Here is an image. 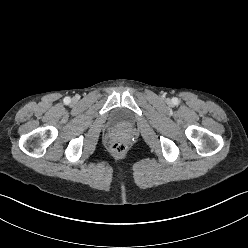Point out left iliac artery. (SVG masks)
Instances as JSON below:
<instances>
[{"instance_id": "44dca946", "label": "left iliac artery", "mask_w": 248, "mask_h": 248, "mask_svg": "<svg viewBox=\"0 0 248 248\" xmlns=\"http://www.w3.org/2000/svg\"><path fill=\"white\" fill-rule=\"evenodd\" d=\"M173 102H174V103H177V99H176V98H174V99H173Z\"/></svg>"}]
</instances>
